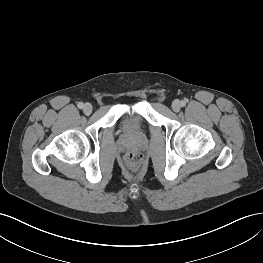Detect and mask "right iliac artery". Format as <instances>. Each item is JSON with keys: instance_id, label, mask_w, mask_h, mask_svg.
Wrapping results in <instances>:
<instances>
[{"instance_id": "right-iliac-artery-1", "label": "right iliac artery", "mask_w": 263, "mask_h": 263, "mask_svg": "<svg viewBox=\"0 0 263 263\" xmlns=\"http://www.w3.org/2000/svg\"><path fill=\"white\" fill-rule=\"evenodd\" d=\"M77 106H78V108L82 109L84 104L82 102H79Z\"/></svg>"}]
</instances>
